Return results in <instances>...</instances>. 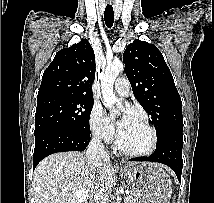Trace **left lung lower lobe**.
<instances>
[{
	"label": "left lung lower lobe",
	"mask_w": 214,
	"mask_h": 203,
	"mask_svg": "<svg viewBox=\"0 0 214 203\" xmlns=\"http://www.w3.org/2000/svg\"><path fill=\"white\" fill-rule=\"evenodd\" d=\"M183 130H172L161 140L157 141L156 150L149 157L132 158L130 161L159 162L169 166L175 172L179 181L183 168L182 146Z\"/></svg>",
	"instance_id": "left-lung-lower-lobe-1"
}]
</instances>
